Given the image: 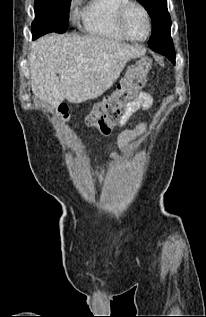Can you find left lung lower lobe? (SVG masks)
Here are the masks:
<instances>
[{
    "label": "left lung lower lobe",
    "mask_w": 206,
    "mask_h": 317,
    "mask_svg": "<svg viewBox=\"0 0 206 317\" xmlns=\"http://www.w3.org/2000/svg\"><path fill=\"white\" fill-rule=\"evenodd\" d=\"M149 47L162 54L165 55L167 58L171 60L173 64H175V52H174V47L172 43H151L148 42Z\"/></svg>",
    "instance_id": "left-lung-lower-lobe-1"
}]
</instances>
